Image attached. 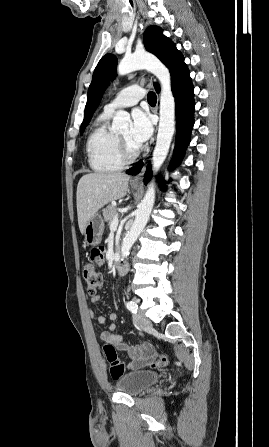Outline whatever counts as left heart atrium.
Here are the masks:
<instances>
[{
  "label": "left heart atrium",
  "instance_id": "obj_1",
  "mask_svg": "<svg viewBox=\"0 0 269 447\" xmlns=\"http://www.w3.org/2000/svg\"><path fill=\"white\" fill-rule=\"evenodd\" d=\"M132 119L131 139L134 143L141 146L152 135V122L148 113L141 109H135L133 111Z\"/></svg>",
  "mask_w": 269,
  "mask_h": 447
}]
</instances>
